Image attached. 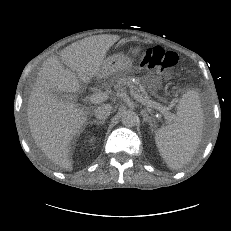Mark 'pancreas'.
Instances as JSON below:
<instances>
[{"label": "pancreas", "instance_id": "1", "mask_svg": "<svg viewBox=\"0 0 231 231\" xmlns=\"http://www.w3.org/2000/svg\"><path fill=\"white\" fill-rule=\"evenodd\" d=\"M121 87H129L130 90L134 91V92H139L141 93V96H143V98H145L148 101H151L154 103V106H156V108H160L158 109L159 111H161L163 113V109L168 110L166 107L162 106L160 103H157L155 101H152L149 99L146 91L144 88H138L133 82H132V77L130 76H123V75H119L116 78V84L114 85L115 89H119Z\"/></svg>", "mask_w": 231, "mask_h": 231}]
</instances>
